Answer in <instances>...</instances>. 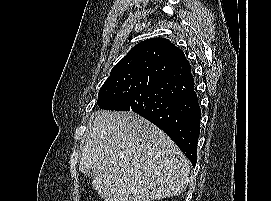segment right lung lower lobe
Returning <instances> with one entry per match:
<instances>
[{
    "label": "right lung lower lobe",
    "instance_id": "obj_1",
    "mask_svg": "<svg viewBox=\"0 0 271 201\" xmlns=\"http://www.w3.org/2000/svg\"><path fill=\"white\" fill-rule=\"evenodd\" d=\"M150 72L147 88L122 101L119 110L133 111L162 129L195 166L201 111L190 64L176 47Z\"/></svg>",
    "mask_w": 271,
    "mask_h": 201
}]
</instances>
